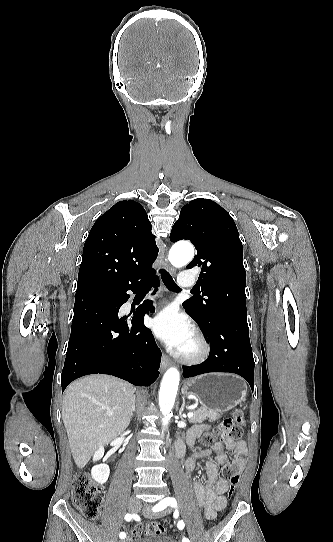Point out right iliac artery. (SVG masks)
Returning <instances> with one entry per match:
<instances>
[{
  "mask_svg": "<svg viewBox=\"0 0 333 542\" xmlns=\"http://www.w3.org/2000/svg\"><path fill=\"white\" fill-rule=\"evenodd\" d=\"M131 519H132V515H131V514H126V515H125V520H126V521H130ZM119 537H120L121 539H124V538L126 537V534H125L124 532H121V533L119 534Z\"/></svg>",
  "mask_w": 333,
  "mask_h": 542,
  "instance_id": "right-iliac-artery-1",
  "label": "right iliac artery"
}]
</instances>
